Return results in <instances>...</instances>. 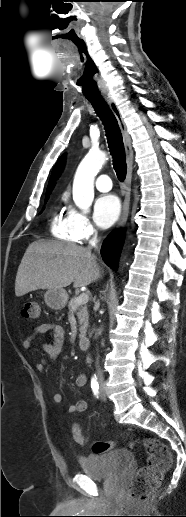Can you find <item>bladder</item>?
Wrapping results in <instances>:
<instances>
[{"label":"bladder","instance_id":"1","mask_svg":"<svg viewBox=\"0 0 186 517\" xmlns=\"http://www.w3.org/2000/svg\"><path fill=\"white\" fill-rule=\"evenodd\" d=\"M132 462V453L121 448L104 454H90L83 457L80 459V466L88 477L103 480L123 474Z\"/></svg>","mask_w":186,"mask_h":517}]
</instances>
